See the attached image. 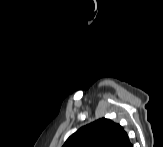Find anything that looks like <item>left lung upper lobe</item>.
Returning <instances> with one entry per match:
<instances>
[{
	"label": "left lung upper lobe",
	"instance_id": "obj_1",
	"mask_svg": "<svg viewBox=\"0 0 163 147\" xmlns=\"http://www.w3.org/2000/svg\"><path fill=\"white\" fill-rule=\"evenodd\" d=\"M124 132L119 124L100 118L78 129L63 147H116Z\"/></svg>",
	"mask_w": 163,
	"mask_h": 147
}]
</instances>
